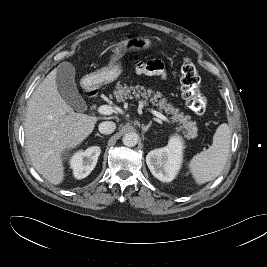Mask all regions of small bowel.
Returning <instances> with one entry per match:
<instances>
[{"mask_svg":"<svg viewBox=\"0 0 267 267\" xmlns=\"http://www.w3.org/2000/svg\"><path fill=\"white\" fill-rule=\"evenodd\" d=\"M135 71L139 74L161 75L164 76V65L159 60H151L148 62H136L134 64Z\"/></svg>","mask_w":267,"mask_h":267,"instance_id":"obj_1","label":"small bowel"}]
</instances>
